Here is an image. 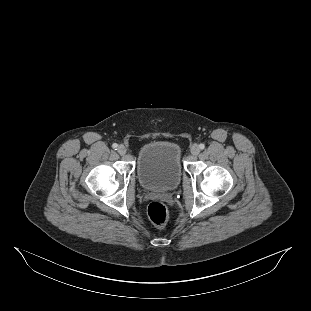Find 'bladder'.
Returning a JSON list of instances; mask_svg holds the SVG:
<instances>
[{
	"label": "bladder",
	"instance_id": "31cf9c89",
	"mask_svg": "<svg viewBox=\"0 0 311 311\" xmlns=\"http://www.w3.org/2000/svg\"><path fill=\"white\" fill-rule=\"evenodd\" d=\"M137 176L148 191H171L178 187L182 177L181 149L171 140H154L139 151Z\"/></svg>",
	"mask_w": 311,
	"mask_h": 311
}]
</instances>
